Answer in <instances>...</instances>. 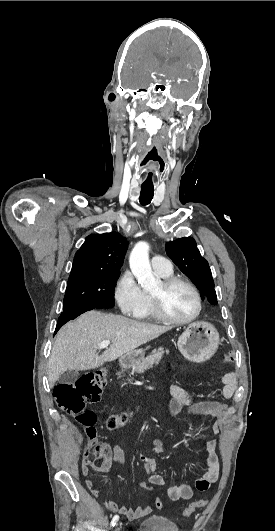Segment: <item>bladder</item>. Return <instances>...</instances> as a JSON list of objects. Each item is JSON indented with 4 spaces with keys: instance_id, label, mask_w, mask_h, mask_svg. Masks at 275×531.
Wrapping results in <instances>:
<instances>
[{
    "instance_id": "1",
    "label": "bladder",
    "mask_w": 275,
    "mask_h": 531,
    "mask_svg": "<svg viewBox=\"0 0 275 531\" xmlns=\"http://www.w3.org/2000/svg\"><path fill=\"white\" fill-rule=\"evenodd\" d=\"M136 531H179L177 523L159 513L141 520Z\"/></svg>"
}]
</instances>
